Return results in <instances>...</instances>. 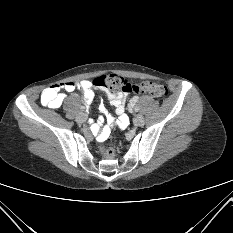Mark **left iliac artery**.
<instances>
[{
  "mask_svg": "<svg viewBox=\"0 0 233 233\" xmlns=\"http://www.w3.org/2000/svg\"><path fill=\"white\" fill-rule=\"evenodd\" d=\"M133 101H134V102H137V101H138V97H137V96L133 97ZM135 111L138 112V111H139V108H138V107H135Z\"/></svg>",
  "mask_w": 233,
  "mask_h": 233,
  "instance_id": "obj_1",
  "label": "left iliac artery"
}]
</instances>
